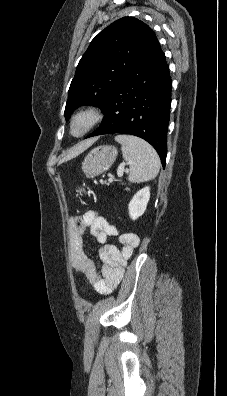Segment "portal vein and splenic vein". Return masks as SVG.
Wrapping results in <instances>:
<instances>
[{
    "label": "portal vein and splenic vein",
    "mask_w": 227,
    "mask_h": 396,
    "mask_svg": "<svg viewBox=\"0 0 227 396\" xmlns=\"http://www.w3.org/2000/svg\"><path fill=\"white\" fill-rule=\"evenodd\" d=\"M123 172H124V165H121V166L118 168V170H117V175H118L119 177H122V176H123ZM108 181H109V182H112L113 179H112V178H109Z\"/></svg>",
    "instance_id": "18ae733b"
}]
</instances>
